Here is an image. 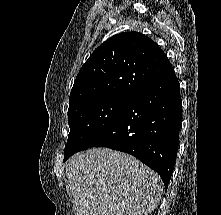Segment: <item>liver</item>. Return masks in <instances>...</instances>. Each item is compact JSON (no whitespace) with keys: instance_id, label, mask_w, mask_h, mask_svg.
<instances>
[{"instance_id":"liver-1","label":"liver","mask_w":221,"mask_h":215,"mask_svg":"<svg viewBox=\"0 0 221 215\" xmlns=\"http://www.w3.org/2000/svg\"><path fill=\"white\" fill-rule=\"evenodd\" d=\"M75 215H145L159 204L160 176L134 156L92 148L65 167Z\"/></svg>"}]
</instances>
